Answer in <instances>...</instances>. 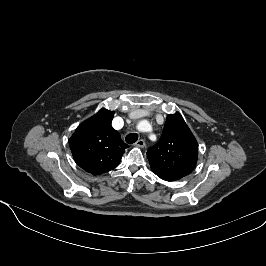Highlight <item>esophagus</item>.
<instances>
[{
	"label": "esophagus",
	"mask_w": 266,
	"mask_h": 266,
	"mask_svg": "<svg viewBox=\"0 0 266 266\" xmlns=\"http://www.w3.org/2000/svg\"><path fill=\"white\" fill-rule=\"evenodd\" d=\"M136 147L139 148H143L145 146V141L143 139H139L136 143H135Z\"/></svg>",
	"instance_id": "1"
}]
</instances>
